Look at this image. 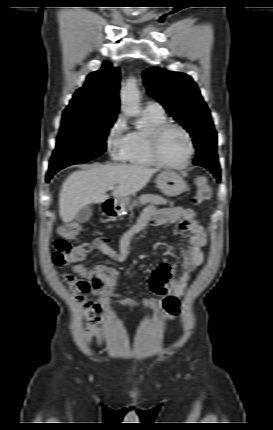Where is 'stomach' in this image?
I'll use <instances>...</instances> for the list:
<instances>
[{
	"label": "stomach",
	"mask_w": 273,
	"mask_h": 430,
	"mask_svg": "<svg viewBox=\"0 0 273 430\" xmlns=\"http://www.w3.org/2000/svg\"><path fill=\"white\" fill-rule=\"evenodd\" d=\"M158 188L169 197L178 196L187 190L184 179L172 170L162 171L156 178ZM128 198L115 200V207L118 212L124 211L128 207Z\"/></svg>",
	"instance_id": "1"
}]
</instances>
